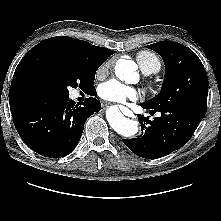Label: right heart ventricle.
<instances>
[{"instance_id":"obj_1","label":"right heart ventricle","mask_w":221,"mask_h":221,"mask_svg":"<svg viewBox=\"0 0 221 221\" xmlns=\"http://www.w3.org/2000/svg\"><path fill=\"white\" fill-rule=\"evenodd\" d=\"M136 60L146 74H153L160 70L161 62L159 58L152 52L141 51L136 55Z\"/></svg>"}]
</instances>
